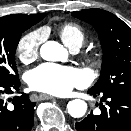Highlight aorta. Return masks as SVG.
<instances>
[{"label": "aorta", "instance_id": "762f6f07", "mask_svg": "<svg viewBox=\"0 0 131 131\" xmlns=\"http://www.w3.org/2000/svg\"><path fill=\"white\" fill-rule=\"evenodd\" d=\"M65 49L55 41H48L41 46L40 55L47 61H59L65 56ZM70 116L81 118L87 111V103L81 99H74L67 104Z\"/></svg>", "mask_w": 131, "mask_h": 131}]
</instances>
